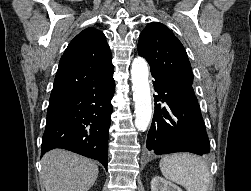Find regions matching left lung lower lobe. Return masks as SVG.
<instances>
[{
  "label": "left lung lower lobe",
  "mask_w": 251,
  "mask_h": 191,
  "mask_svg": "<svg viewBox=\"0 0 251 191\" xmlns=\"http://www.w3.org/2000/svg\"><path fill=\"white\" fill-rule=\"evenodd\" d=\"M155 78V111L146 147L156 155L210 152V143L192 85L175 83L151 70ZM157 101L166 102L161 108Z\"/></svg>",
  "instance_id": "0a47b994"
}]
</instances>
